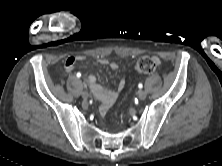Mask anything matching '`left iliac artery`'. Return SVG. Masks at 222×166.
<instances>
[{
	"mask_svg": "<svg viewBox=\"0 0 222 166\" xmlns=\"http://www.w3.org/2000/svg\"><path fill=\"white\" fill-rule=\"evenodd\" d=\"M138 87H139V88H142V87H143V85L140 83V84L138 85Z\"/></svg>",
	"mask_w": 222,
	"mask_h": 166,
	"instance_id": "left-iliac-artery-1",
	"label": "left iliac artery"
}]
</instances>
